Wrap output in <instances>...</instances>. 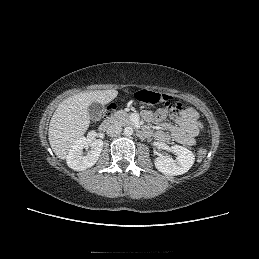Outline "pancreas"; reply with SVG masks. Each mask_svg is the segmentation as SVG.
<instances>
[{
  "mask_svg": "<svg viewBox=\"0 0 259 259\" xmlns=\"http://www.w3.org/2000/svg\"><path fill=\"white\" fill-rule=\"evenodd\" d=\"M111 120L121 124V125H127V124H130L131 121H130V118H129V114L126 113L125 111L123 110H119L117 112H115L111 118Z\"/></svg>",
  "mask_w": 259,
  "mask_h": 259,
  "instance_id": "pancreas-1",
  "label": "pancreas"
}]
</instances>
